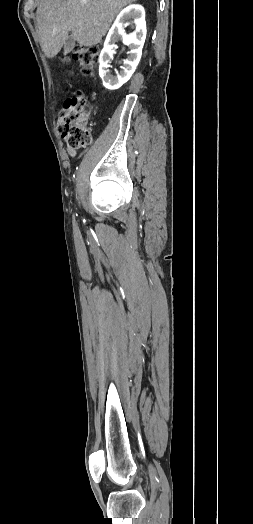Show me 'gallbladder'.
I'll return each mask as SVG.
<instances>
[{
    "instance_id": "bac80fb5",
    "label": "gallbladder",
    "mask_w": 253,
    "mask_h": 524,
    "mask_svg": "<svg viewBox=\"0 0 253 524\" xmlns=\"http://www.w3.org/2000/svg\"><path fill=\"white\" fill-rule=\"evenodd\" d=\"M74 45H75V40L71 35H69L64 44V54L66 55L67 53L72 51V49L74 48Z\"/></svg>"
}]
</instances>
